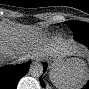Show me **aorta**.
<instances>
[{
  "label": "aorta",
  "instance_id": "1",
  "mask_svg": "<svg viewBox=\"0 0 89 89\" xmlns=\"http://www.w3.org/2000/svg\"><path fill=\"white\" fill-rule=\"evenodd\" d=\"M32 77H40L43 74V66L39 63L32 64L29 69Z\"/></svg>",
  "mask_w": 89,
  "mask_h": 89
}]
</instances>
